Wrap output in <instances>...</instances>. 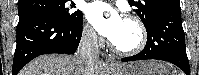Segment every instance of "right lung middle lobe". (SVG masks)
I'll list each match as a JSON object with an SVG mask.
<instances>
[{
    "mask_svg": "<svg viewBox=\"0 0 199 75\" xmlns=\"http://www.w3.org/2000/svg\"><path fill=\"white\" fill-rule=\"evenodd\" d=\"M68 0H22L18 2L19 17L26 14H41L51 17L58 22L72 25L83 14L81 11H72L74 3L69 5Z\"/></svg>",
    "mask_w": 199,
    "mask_h": 75,
    "instance_id": "1",
    "label": "right lung middle lobe"
}]
</instances>
